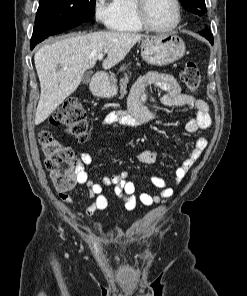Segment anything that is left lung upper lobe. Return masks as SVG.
<instances>
[{
    "label": "left lung upper lobe",
    "mask_w": 247,
    "mask_h": 296,
    "mask_svg": "<svg viewBox=\"0 0 247 296\" xmlns=\"http://www.w3.org/2000/svg\"><path fill=\"white\" fill-rule=\"evenodd\" d=\"M180 2L186 10L196 16H202L207 11L204 0H180Z\"/></svg>",
    "instance_id": "left-lung-upper-lobe-1"
}]
</instances>
